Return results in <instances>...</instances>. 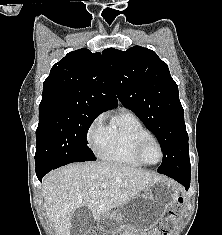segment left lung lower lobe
<instances>
[{
  "label": "left lung lower lobe",
  "instance_id": "1",
  "mask_svg": "<svg viewBox=\"0 0 222 235\" xmlns=\"http://www.w3.org/2000/svg\"><path fill=\"white\" fill-rule=\"evenodd\" d=\"M182 184L186 190L190 187V174L162 173Z\"/></svg>",
  "mask_w": 222,
  "mask_h": 235
}]
</instances>
